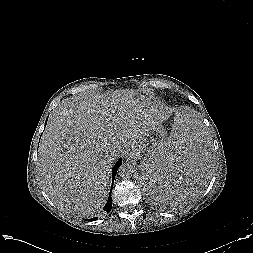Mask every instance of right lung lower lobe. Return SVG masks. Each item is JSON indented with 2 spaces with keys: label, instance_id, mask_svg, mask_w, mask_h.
Here are the masks:
<instances>
[{
  "label": "right lung lower lobe",
  "instance_id": "98d812e1",
  "mask_svg": "<svg viewBox=\"0 0 253 253\" xmlns=\"http://www.w3.org/2000/svg\"><path fill=\"white\" fill-rule=\"evenodd\" d=\"M121 164H122V160L119 159L118 162L114 165V167L112 169V179H113V181H114L115 175L117 173V170H118V168L120 167ZM112 186H113V183H112ZM111 191H112V187H111V190H110L108 201H107L106 205L103 208V210L106 213H109L111 211V208H112ZM96 219L97 218H93V219H90L89 221H93V220H96Z\"/></svg>",
  "mask_w": 253,
  "mask_h": 253
}]
</instances>
